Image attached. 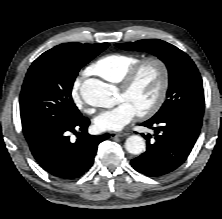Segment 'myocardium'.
I'll return each instance as SVG.
<instances>
[{
	"mask_svg": "<svg viewBox=\"0 0 222 219\" xmlns=\"http://www.w3.org/2000/svg\"><path fill=\"white\" fill-rule=\"evenodd\" d=\"M149 64L154 65L157 68L160 83L157 95L153 102L147 108L137 112V115L141 118H149L153 116L163 105L167 95L170 81L168 65L163 59L156 56L144 58L142 60H139L133 67H131L119 82L120 89L123 92L129 91L135 83L142 69Z\"/></svg>",
	"mask_w": 222,
	"mask_h": 219,
	"instance_id": "1",
	"label": "myocardium"
}]
</instances>
